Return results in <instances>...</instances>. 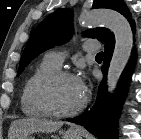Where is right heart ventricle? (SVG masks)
<instances>
[{"label": "right heart ventricle", "instance_id": "right-heart-ventricle-1", "mask_svg": "<svg viewBox=\"0 0 141 139\" xmlns=\"http://www.w3.org/2000/svg\"><path fill=\"white\" fill-rule=\"evenodd\" d=\"M58 67L44 58L27 77L21 91L20 103L22 112L28 117L43 118L48 115L41 107L37 90L40 83Z\"/></svg>", "mask_w": 141, "mask_h": 139}]
</instances>
